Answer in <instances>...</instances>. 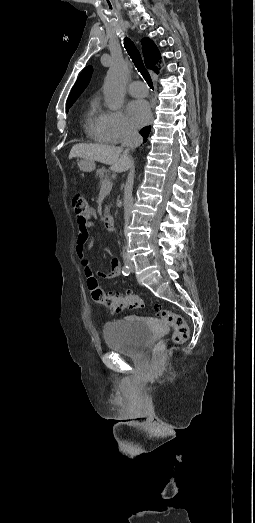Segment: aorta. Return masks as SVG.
<instances>
[{"mask_svg": "<svg viewBox=\"0 0 255 523\" xmlns=\"http://www.w3.org/2000/svg\"><path fill=\"white\" fill-rule=\"evenodd\" d=\"M127 75L128 66L122 60L114 62L107 72L103 92L106 105L112 110L120 108L123 103Z\"/></svg>", "mask_w": 255, "mask_h": 523, "instance_id": "762f6f07", "label": "aorta"}]
</instances>
